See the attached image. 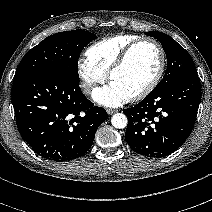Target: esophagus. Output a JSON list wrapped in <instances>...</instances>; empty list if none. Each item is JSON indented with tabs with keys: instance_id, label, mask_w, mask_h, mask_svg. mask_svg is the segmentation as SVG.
<instances>
[{
	"instance_id": "obj_1",
	"label": "esophagus",
	"mask_w": 212,
	"mask_h": 212,
	"mask_svg": "<svg viewBox=\"0 0 212 212\" xmlns=\"http://www.w3.org/2000/svg\"><path fill=\"white\" fill-rule=\"evenodd\" d=\"M117 112V110H114V109H107V113L109 114V115H112V114H114V113H116Z\"/></svg>"
}]
</instances>
